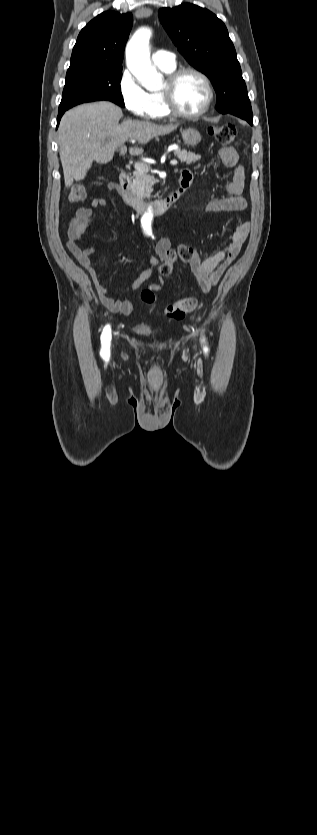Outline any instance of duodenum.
I'll list each match as a JSON object with an SVG mask.
<instances>
[{"instance_id": "duodenum-1", "label": "duodenum", "mask_w": 317, "mask_h": 835, "mask_svg": "<svg viewBox=\"0 0 317 835\" xmlns=\"http://www.w3.org/2000/svg\"><path fill=\"white\" fill-rule=\"evenodd\" d=\"M130 176L128 172L122 171L119 175V187L125 203L137 212L146 211L149 207L157 214H164L171 210L182 193L188 187V183L180 181L178 188L164 199L156 201H144L129 192Z\"/></svg>"}]
</instances>
